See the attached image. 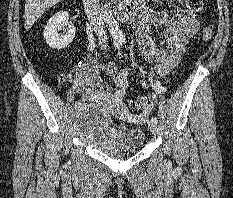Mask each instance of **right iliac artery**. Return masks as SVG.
I'll return each mask as SVG.
<instances>
[{"mask_svg":"<svg viewBox=\"0 0 233 198\" xmlns=\"http://www.w3.org/2000/svg\"><path fill=\"white\" fill-rule=\"evenodd\" d=\"M115 46H116L117 48H119L118 43L115 44ZM81 105H82L81 102H76L75 105H74V108H75V109H79V108L81 107Z\"/></svg>","mask_w":233,"mask_h":198,"instance_id":"1","label":"right iliac artery"}]
</instances>
